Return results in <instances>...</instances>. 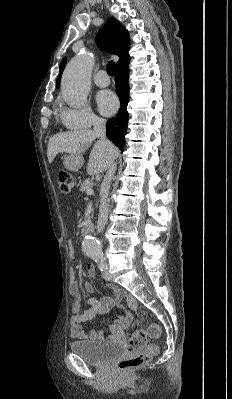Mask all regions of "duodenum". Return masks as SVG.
<instances>
[{
  "label": "duodenum",
  "mask_w": 232,
  "mask_h": 399,
  "mask_svg": "<svg viewBox=\"0 0 232 399\" xmlns=\"http://www.w3.org/2000/svg\"><path fill=\"white\" fill-rule=\"evenodd\" d=\"M82 232L85 235H89V234H91L93 232V227L91 225L87 224V223H84L82 225Z\"/></svg>",
  "instance_id": "1"
}]
</instances>
